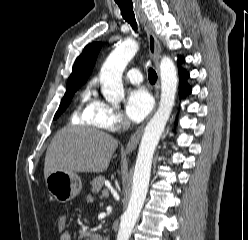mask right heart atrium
Here are the masks:
<instances>
[{
	"mask_svg": "<svg viewBox=\"0 0 248 240\" xmlns=\"http://www.w3.org/2000/svg\"><path fill=\"white\" fill-rule=\"evenodd\" d=\"M90 121L91 125L107 131H114L128 124L122 112L101 100H97Z\"/></svg>",
	"mask_w": 248,
	"mask_h": 240,
	"instance_id": "1",
	"label": "right heart atrium"
}]
</instances>
